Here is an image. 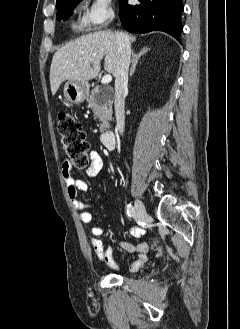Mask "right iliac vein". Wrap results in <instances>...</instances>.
<instances>
[{"mask_svg":"<svg viewBox=\"0 0 240 329\" xmlns=\"http://www.w3.org/2000/svg\"><path fill=\"white\" fill-rule=\"evenodd\" d=\"M135 217L138 221H144L145 218L147 217V211L145 208V205L143 204L142 201L136 200L135 201Z\"/></svg>","mask_w":240,"mask_h":329,"instance_id":"right-iliac-vein-1","label":"right iliac vein"}]
</instances>
